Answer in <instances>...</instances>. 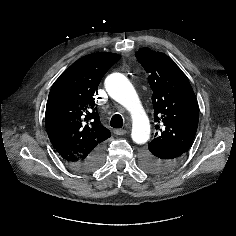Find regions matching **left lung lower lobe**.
I'll return each instance as SVG.
<instances>
[{
  "instance_id": "1",
  "label": "left lung lower lobe",
  "mask_w": 236,
  "mask_h": 236,
  "mask_svg": "<svg viewBox=\"0 0 236 236\" xmlns=\"http://www.w3.org/2000/svg\"><path fill=\"white\" fill-rule=\"evenodd\" d=\"M185 153L186 152L181 150L159 152L157 154V160L153 161L154 170L150 173L163 174L170 171L178 165ZM142 159L145 161H151L145 154H143Z\"/></svg>"
}]
</instances>
